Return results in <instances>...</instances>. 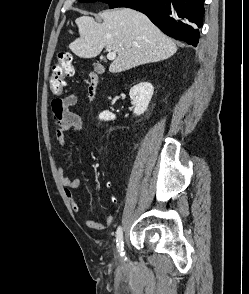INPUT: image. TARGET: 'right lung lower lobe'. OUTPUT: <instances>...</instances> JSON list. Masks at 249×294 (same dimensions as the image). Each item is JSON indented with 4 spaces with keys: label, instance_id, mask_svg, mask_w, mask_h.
Instances as JSON below:
<instances>
[{
    "label": "right lung lower lobe",
    "instance_id": "98d812e1",
    "mask_svg": "<svg viewBox=\"0 0 249 294\" xmlns=\"http://www.w3.org/2000/svg\"><path fill=\"white\" fill-rule=\"evenodd\" d=\"M205 0H123L129 7L146 14L165 34L197 46L203 22Z\"/></svg>",
    "mask_w": 249,
    "mask_h": 294
}]
</instances>
